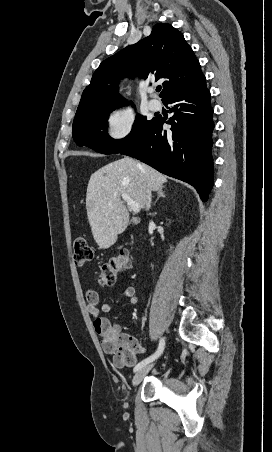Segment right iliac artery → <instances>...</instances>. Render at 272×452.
<instances>
[{
	"instance_id": "1",
	"label": "right iliac artery",
	"mask_w": 272,
	"mask_h": 452,
	"mask_svg": "<svg viewBox=\"0 0 272 452\" xmlns=\"http://www.w3.org/2000/svg\"><path fill=\"white\" fill-rule=\"evenodd\" d=\"M164 346H165L164 338H161V339H160V342H159V346H158L157 351H156L154 354H152V355H150L149 357H147L146 359H144V360H142L141 362H139V363L135 366V368H134L133 371H134V372L138 371L139 369H141V368L144 367L145 365L149 364L150 362H152V361H154L156 358H158V357L162 354V352H163V350H164Z\"/></svg>"
}]
</instances>
